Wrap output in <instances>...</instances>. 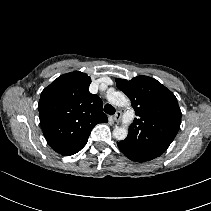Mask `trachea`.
<instances>
[{
  "label": "trachea",
  "mask_w": 211,
  "mask_h": 211,
  "mask_svg": "<svg viewBox=\"0 0 211 211\" xmlns=\"http://www.w3.org/2000/svg\"><path fill=\"white\" fill-rule=\"evenodd\" d=\"M104 112L109 115H113L115 113V108L110 104H106L104 106Z\"/></svg>",
  "instance_id": "1"
}]
</instances>
